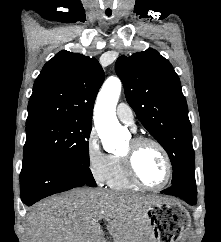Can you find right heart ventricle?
<instances>
[{"label":"right heart ventricle","mask_w":221,"mask_h":242,"mask_svg":"<svg viewBox=\"0 0 221 242\" xmlns=\"http://www.w3.org/2000/svg\"><path fill=\"white\" fill-rule=\"evenodd\" d=\"M106 182L111 188L119 190H134L139 187L128 176L123 159L119 154L111 155V163Z\"/></svg>","instance_id":"e07e8e85"}]
</instances>
